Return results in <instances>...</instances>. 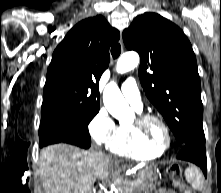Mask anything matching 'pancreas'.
<instances>
[{
    "mask_svg": "<svg viewBox=\"0 0 221 193\" xmlns=\"http://www.w3.org/2000/svg\"><path fill=\"white\" fill-rule=\"evenodd\" d=\"M136 179L140 180V183L137 186L132 185L133 181L126 180L123 193H135L137 190H142L145 193H148L155 188L154 182L157 181V176L153 169L144 168L138 172Z\"/></svg>",
    "mask_w": 221,
    "mask_h": 193,
    "instance_id": "cf45deb5",
    "label": "pancreas"
}]
</instances>
